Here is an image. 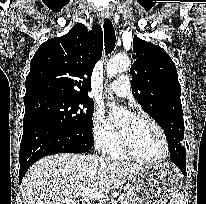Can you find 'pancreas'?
Listing matches in <instances>:
<instances>
[{"mask_svg": "<svg viewBox=\"0 0 206 204\" xmlns=\"http://www.w3.org/2000/svg\"><path fill=\"white\" fill-rule=\"evenodd\" d=\"M135 196L132 193L131 189L128 187L124 191V199L121 200V204H133L132 201H134Z\"/></svg>", "mask_w": 206, "mask_h": 204, "instance_id": "pancreas-1", "label": "pancreas"}]
</instances>
